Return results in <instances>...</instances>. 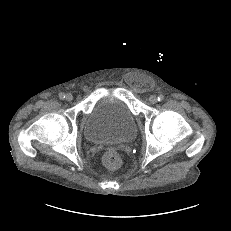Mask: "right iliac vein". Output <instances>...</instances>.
Returning a JSON list of instances; mask_svg holds the SVG:
<instances>
[{
  "instance_id": "63e3f726",
  "label": "right iliac vein",
  "mask_w": 231,
  "mask_h": 231,
  "mask_svg": "<svg viewBox=\"0 0 231 231\" xmlns=\"http://www.w3.org/2000/svg\"><path fill=\"white\" fill-rule=\"evenodd\" d=\"M65 98H66V100H67V101H69V102H70V101H72V100H73V95H72V94H70V93H68V94H66V97H65Z\"/></svg>"
}]
</instances>
